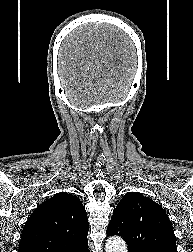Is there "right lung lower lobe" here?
Here are the masks:
<instances>
[{
	"label": "right lung lower lobe",
	"mask_w": 193,
	"mask_h": 252,
	"mask_svg": "<svg viewBox=\"0 0 193 252\" xmlns=\"http://www.w3.org/2000/svg\"><path fill=\"white\" fill-rule=\"evenodd\" d=\"M79 252H89V250H88V246H86L85 248H83V249L79 250Z\"/></svg>",
	"instance_id": "obj_1"
}]
</instances>
